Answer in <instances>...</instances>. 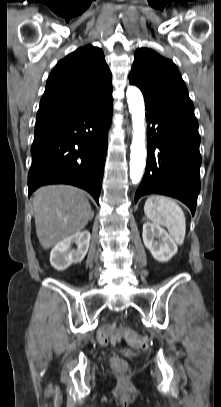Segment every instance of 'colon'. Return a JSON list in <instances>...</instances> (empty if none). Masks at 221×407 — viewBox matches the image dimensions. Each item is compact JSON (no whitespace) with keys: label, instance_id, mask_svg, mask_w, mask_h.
<instances>
[{"label":"colon","instance_id":"colon-1","mask_svg":"<svg viewBox=\"0 0 221 407\" xmlns=\"http://www.w3.org/2000/svg\"><path fill=\"white\" fill-rule=\"evenodd\" d=\"M98 341L102 345H108L119 341L122 337L133 347L145 350L148 346L147 339L131 330L129 327L105 326L98 331ZM110 364L116 371H124L127 368L126 362L118 356L110 358Z\"/></svg>","mask_w":221,"mask_h":407}]
</instances>
